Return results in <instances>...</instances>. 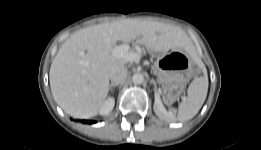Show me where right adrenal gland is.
<instances>
[{"mask_svg": "<svg viewBox=\"0 0 261 150\" xmlns=\"http://www.w3.org/2000/svg\"><path fill=\"white\" fill-rule=\"evenodd\" d=\"M117 86H118V84L111 83V84L109 85V89L112 90V88H115V87H117Z\"/></svg>", "mask_w": 261, "mask_h": 150, "instance_id": "2a0ac1e0", "label": "right adrenal gland"}]
</instances>
